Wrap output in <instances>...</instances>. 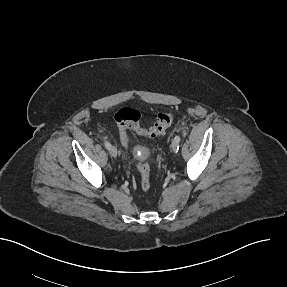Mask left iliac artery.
Wrapping results in <instances>:
<instances>
[{
    "label": "left iliac artery",
    "mask_w": 287,
    "mask_h": 287,
    "mask_svg": "<svg viewBox=\"0 0 287 287\" xmlns=\"http://www.w3.org/2000/svg\"><path fill=\"white\" fill-rule=\"evenodd\" d=\"M174 140L179 144L180 141H181V138H180V136H176V137L174 138Z\"/></svg>",
    "instance_id": "1"
}]
</instances>
